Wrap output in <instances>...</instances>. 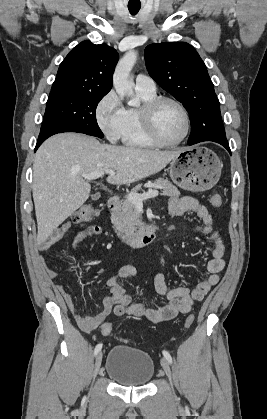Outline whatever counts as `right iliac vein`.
<instances>
[{
    "instance_id": "right-iliac-vein-1",
    "label": "right iliac vein",
    "mask_w": 267,
    "mask_h": 419,
    "mask_svg": "<svg viewBox=\"0 0 267 419\" xmlns=\"http://www.w3.org/2000/svg\"><path fill=\"white\" fill-rule=\"evenodd\" d=\"M101 362H102V353L100 352L95 360V364H94V377L97 376L100 366H101Z\"/></svg>"
}]
</instances>
